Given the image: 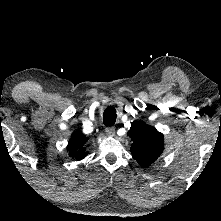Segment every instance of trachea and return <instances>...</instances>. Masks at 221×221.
I'll use <instances>...</instances> for the list:
<instances>
[{
	"instance_id": "1",
	"label": "trachea",
	"mask_w": 221,
	"mask_h": 221,
	"mask_svg": "<svg viewBox=\"0 0 221 221\" xmlns=\"http://www.w3.org/2000/svg\"><path fill=\"white\" fill-rule=\"evenodd\" d=\"M116 110L114 107L109 106L105 109L103 113V123L105 126H113L116 121Z\"/></svg>"
}]
</instances>
